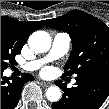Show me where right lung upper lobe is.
<instances>
[{"mask_svg":"<svg viewBox=\"0 0 109 109\" xmlns=\"http://www.w3.org/2000/svg\"><path fill=\"white\" fill-rule=\"evenodd\" d=\"M40 28L41 23L38 21L22 22L7 16L1 17V36L22 47L30 34Z\"/></svg>","mask_w":109,"mask_h":109,"instance_id":"right-lung-upper-lobe-1","label":"right lung upper lobe"}]
</instances>
